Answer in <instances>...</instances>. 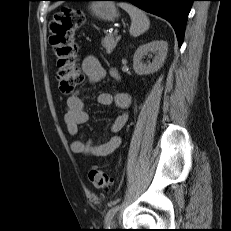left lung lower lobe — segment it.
<instances>
[{
	"label": "left lung lower lobe",
	"instance_id": "0a47b994",
	"mask_svg": "<svg viewBox=\"0 0 231 231\" xmlns=\"http://www.w3.org/2000/svg\"><path fill=\"white\" fill-rule=\"evenodd\" d=\"M58 1V0H52ZM127 1L146 12L166 19L174 28L181 46L188 14L194 0H113Z\"/></svg>",
	"mask_w": 231,
	"mask_h": 231
}]
</instances>
